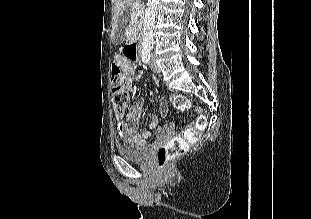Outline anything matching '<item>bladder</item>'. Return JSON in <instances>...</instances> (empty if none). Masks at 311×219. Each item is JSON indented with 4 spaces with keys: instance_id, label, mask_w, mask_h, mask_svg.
I'll return each instance as SVG.
<instances>
[{
    "instance_id": "1",
    "label": "bladder",
    "mask_w": 311,
    "mask_h": 219,
    "mask_svg": "<svg viewBox=\"0 0 311 219\" xmlns=\"http://www.w3.org/2000/svg\"><path fill=\"white\" fill-rule=\"evenodd\" d=\"M116 151L119 154V156H121L126 160L141 162L148 157L150 149L148 146H141V147L117 146Z\"/></svg>"
}]
</instances>
